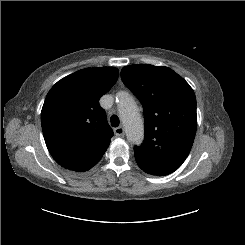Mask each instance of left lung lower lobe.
<instances>
[{
  "label": "left lung lower lobe",
  "instance_id": "0a47b994",
  "mask_svg": "<svg viewBox=\"0 0 245 245\" xmlns=\"http://www.w3.org/2000/svg\"><path fill=\"white\" fill-rule=\"evenodd\" d=\"M136 162L138 163L139 167L143 171L151 175L163 176V175L171 174L175 171L174 168L167 166V165L150 166V165L144 164L142 161L137 160V159H136Z\"/></svg>",
  "mask_w": 245,
  "mask_h": 245
}]
</instances>
